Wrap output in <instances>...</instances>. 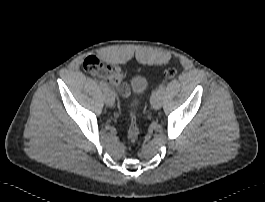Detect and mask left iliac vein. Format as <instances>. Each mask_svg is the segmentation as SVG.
<instances>
[{
  "instance_id": "obj_1",
  "label": "left iliac vein",
  "mask_w": 265,
  "mask_h": 202,
  "mask_svg": "<svg viewBox=\"0 0 265 202\" xmlns=\"http://www.w3.org/2000/svg\"><path fill=\"white\" fill-rule=\"evenodd\" d=\"M162 102H161V95H154V97L151 99V106L155 110H159L161 108Z\"/></svg>"
}]
</instances>
